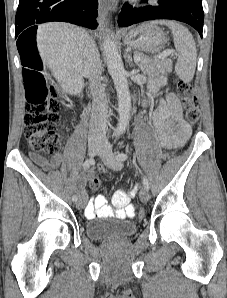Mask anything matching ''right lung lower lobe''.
Returning <instances> with one entry per match:
<instances>
[{
  "instance_id": "obj_1",
  "label": "right lung lower lobe",
  "mask_w": 227,
  "mask_h": 298,
  "mask_svg": "<svg viewBox=\"0 0 227 298\" xmlns=\"http://www.w3.org/2000/svg\"><path fill=\"white\" fill-rule=\"evenodd\" d=\"M97 8L98 0H19L15 36L22 65L28 66L29 43L35 47L36 24L63 21L95 29L98 26Z\"/></svg>"
}]
</instances>
